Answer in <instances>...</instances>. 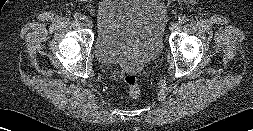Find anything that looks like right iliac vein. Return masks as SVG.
<instances>
[{
  "instance_id": "obj_1",
  "label": "right iliac vein",
  "mask_w": 253,
  "mask_h": 131,
  "mask_svg": "<svg viewBox=\"0 0 253 131\" xmlns=\"http://www.w3.org/2000/svg\"><path fill=\"white\" fill-rule=\"evenodd\" d=\"M84 24H85L87 27H89V28H92V26H93V22H92V20L89 19V18H85V19H84Z\"/></svg>"
}]
</instances>
